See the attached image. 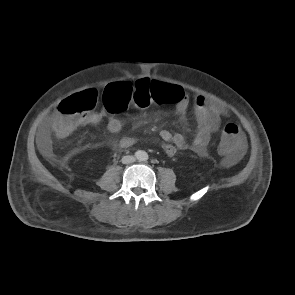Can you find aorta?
Returning <instances> with one entry per match:
<instances>
[{
  "label": "aorta",
  "instance_id": "aorta-1",
  "mask_svg": "<svg viewBox=\"0 0 295 295\" xmlns=\"http://www.w3.org/2000/svg\"><path fill=\"white\" fill-rule=\"evenodd\" d=\"M136 155L137 159L140 161H145L148 159V154L145 151H138Z\"/></svg>",
  "mask_w": 295,
  "mask_h": 295
}]
</instances>
